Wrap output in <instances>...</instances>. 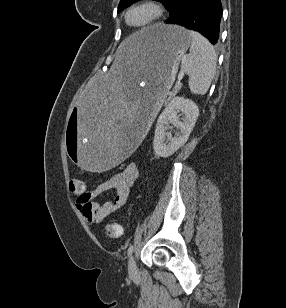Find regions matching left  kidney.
<instances>
[{"mask_svg":"<svg viewBox=\"0 0 286 308\" xmlns=\"http://www.w3.org/2000/svg\"><path fill=\"white\" fill-rule=\"evenodd\" d=\"M179 112L184 114L182 121L179 119ZM198 116L199 108L192 100L173 97L157 120L153 139L155 155L166 158L182 147L187 142ZM169 124L180 130L174 137L168 132Z\"/></svg>","mask_w":286,"mask_h":308,"instance_id":"1","label":"left kidney"}]
</instances>
